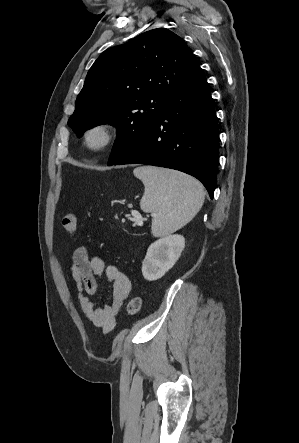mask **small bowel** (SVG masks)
I'll return each mask as SVG.
<instances>
[{
  "mask_svg": "<svg viewBox=\"0 0 299 443\" xmlns=\"http://www.w3.org/2000/svg\"><path fill=\"white\" fill-rule=\"evenodd\" d=\"M71 270L86 318L93 326L101 328L104 334L110 333L123 302L131 292L130 279L116 265H106L100 256L91 255L84 246L74 251ZM103 276L111 284V302L105 306H94L90 297L97 293L98 278Z\"/></svg>",
  "mask_w": 299,
  "mask_h": 443,
  "instance_id": "small-bowel-1",
  "label": "small bowel"
}]
</instances>
